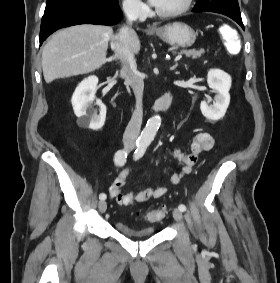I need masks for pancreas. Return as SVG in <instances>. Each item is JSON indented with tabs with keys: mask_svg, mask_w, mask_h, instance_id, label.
Segmentation results:
<instances>
[{
	"mask_svg": "<svg viewBox=\"0 0 280 283\" xmlns=\"http://www.w3.org/2000/svg\"><path fill=\"white\" fill-rule=\"evenodd\" d=\"M186 55L187 58H192V59H198L202 57L203 54H205L204 49H199V50H190V51H182Z\"/></svg>",
	"mask_w": 280,
	"mask_h": 283,
	"instance_id": "pancreas-1",
	"label": "pancreas"
}]
</instances>
